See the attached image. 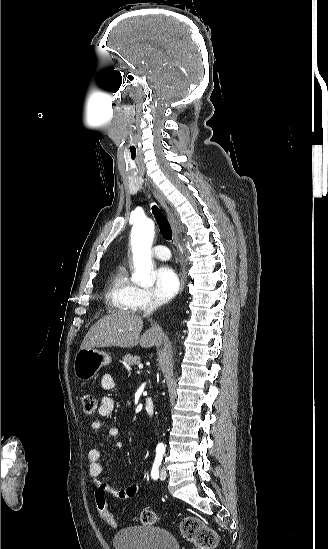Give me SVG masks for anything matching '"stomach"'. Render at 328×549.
<instances>
[{
  "mask_svg": "<svg viewBox=\"0 0 328 549\" xmlns=\"http://www.w3.org/2000/svg\"><path fill=\"white\" fill-rule=\"evenodd\" d=\"M112 359L107 353L96 349H80L74 361V373L80 381H90L100 371L101 367L110 365Z\"/></svg>",
  "mask_w": 328,
  "mask_h": 549,
  "instance_id": "0dacf381",
  "label": "stomach"
}]
</instances>
